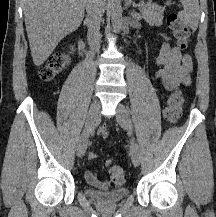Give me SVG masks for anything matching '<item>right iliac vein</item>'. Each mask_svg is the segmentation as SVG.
Instances as JSON below:
<instances>
[{
  "label": "right iliac vein",
  "instance_id": "right-iliac-vein-1",
  "mask_svg": "<svg viewBox=\"0 0 216 217\" xmlns=\"http://www.w3.org/2000/svg\"><path fill=\"white\" fill-rule=\"evenodd\" d=\"M99 108H100V104L98 100H94L90 105L86 122H85V128L78 140V145H77L78 157H83L86 153L89 134L97 125Z\"/></svg>",
  "mask_w": 216,
  "mask_h": 217
}]
</instances>
